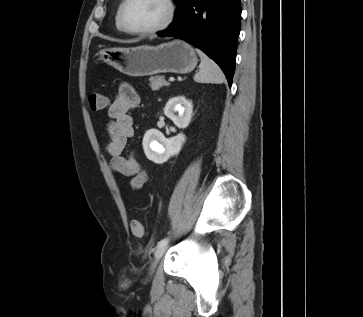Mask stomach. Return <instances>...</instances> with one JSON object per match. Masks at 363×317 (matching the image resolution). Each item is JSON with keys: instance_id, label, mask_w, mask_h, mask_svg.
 Listing matches in <instances>:
<instances>
[{"instance_id": "stomach-1", "label": "stomach", "mask_w": 363, "mask_h": 317, "mask_svg": "<svg viewBox=\"0 0 363 317\" xmlns=\"http://www.w3.org/2000/svg\"><path fill=\"white\" fill-rule=\"evenodd\" d=\"M99 59L135 77L167 72L186 74L193 71L198 62L194 49L182 40L158 46L103 49Z\"/></svg>"}]
</instances>
